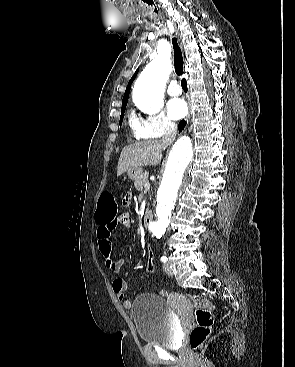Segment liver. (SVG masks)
Listing matches in <instances>:
<instances>
[{"label": "liver", "mask_w": 295, "mask_h": 367, "mask_svg": "<svg viewBox=\"0 0 295 367\" xmlns=\"http://www.w3.org/2000/svg\"><path fill=\"white\" fill-rule=\"evenodd\" d=\"M165 148L166 145L160 140L142 141L124 147L118 161L117 176L142 166L158 165Z\"/></svg>", "instance_id": "obj_1"}]
</instances>
